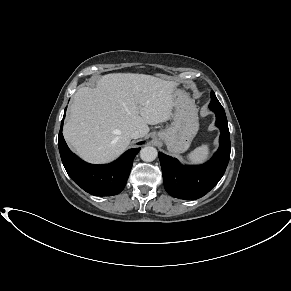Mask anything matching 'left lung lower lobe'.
I'll list each match as a JSON object with an SVG mask.
<instances>
[{
  "label": "left lung lower lobe",
  "instance_id": "1",
  "mask_svg": "<svg viewBox=\"0 0 291 291\" xmlns=\"http://www.w3.org/2000/svg\"><path fill=\"white\" fill-rule=\"evenodd\" d=\"M220 128V147L205 164L183 166L175 158L159 152L163 183L168 194L179 199H198L207 194L222 178L230 159V135L224 108L220 103H210Z\"/></svg>",
  "mask_w": 291,
  "mask_h": 291
}]
</instances>
